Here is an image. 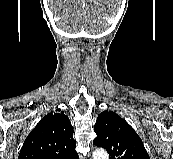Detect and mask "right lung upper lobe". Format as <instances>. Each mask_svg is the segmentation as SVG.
I'll return each instance as SVG.
<instances>
[{
    "label": "right lung upper lobe",
    "mask_w": 173,
    "mask_h": 159,
    "mask_svg": "<svg viewBox=\"0 0 173 159\" xmlns=\"http://www.w3.org/2000/svg\"><path fill=\"white\" fill-rule=\"evenodd\" d=\"M73 127L61 109L47 114L24 141L18 159H78Z\"/></svg>",
    "instance_id": "right-lung-upper-lobe-1"
}]
</instances>
